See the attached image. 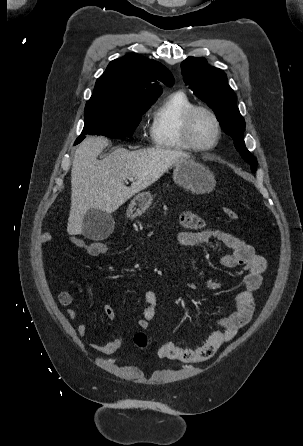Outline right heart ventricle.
Returning <instances> with one entry per match:
<instances>
[{
    "mask_svg": "<svg viewBox=\"0 0 303 446\" xmlns=\"http://www.w3.org/2000/svg\"><path fill=\"white\" fill-rule=\"evenodd\" d=\"M193 106L184 91L169 94L153 113L150 124L152 144L167 150H189L182 138L181 126L185 113Z\"/></svg>",
    "mask_w": 303,
    "mask_h": 446,
    "instance_id": "1",
    "label": "right heart ventricle"
}]
</instances>
